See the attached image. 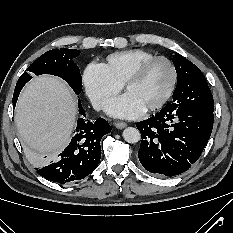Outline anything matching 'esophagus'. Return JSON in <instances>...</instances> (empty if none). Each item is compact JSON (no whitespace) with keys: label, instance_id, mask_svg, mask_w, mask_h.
<instances>
[{"label":"esophagus","instance_id":"esophagus-1","mask_svg":"<svg viewBox=\"0 0 233 233\" xmlns=\"http://www.w3.org/2000/svg\"><path fill=\"white\" fill-rule=\"evenodd\" d=\"M127 126V124L125 122H116L115 123V127L118 129H123Z\"/></svg>","mask_w":233,"mask_h":233}]
</instances>
